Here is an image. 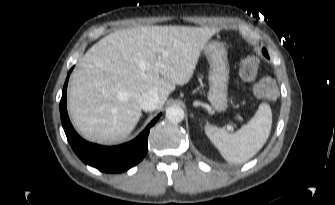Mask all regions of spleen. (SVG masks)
I'll return each instance as SVG.
<instances>
[{
    "label": "spleen",
    "mask_w": 335,
    "mask_h": 205,
    "mask_svg": "<svg viewBox=\"0 0 335 205\" xmlns=\"http://www.w3.org/2000/svg\"><path fill=\"white\" fill-rule=\"evenodd\" d=\"M272 126V111L261 103L253 118L237 132L230 134L223 128L206 125L205 133L229 163H244L266 143Z\"/></svg>",
    "instance_id": "1"
}]
</instances>
